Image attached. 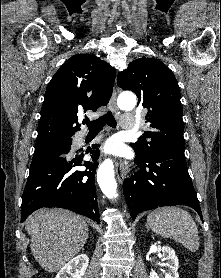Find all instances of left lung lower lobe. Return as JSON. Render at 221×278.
Returning a JSON list of instances; mask_svg holds the SVG:
<instances>
[{
	"label": "left lung lower lobe",
	"mask_w": 221,
	"mask_h": 278,
	"mask_svg": "<svg viewBox=\"0 0 221 278\" xmlns=\"http://www.w3.org/2000/svg\"><path fill=\"white\" fill-rule=\"evenodd\" d=\"M136 155L141 170L123 184L133 220L142 211L171 205L189 206L202 218L184 150L163 149L148 158Z\"/></svg>",
	"instance_id": "left-lung-lower-lobe-1"
}]
</instances>
